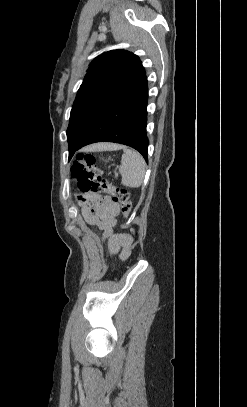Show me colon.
<instances>
[{"label": "colon", "mask_w": 247, "mask_h": 407, "mask_svg": "<svg viewBox=\"0 0 247 407\" xmlns=\"http://www.w3.org/2000/svg\"><path fill=\"white\" fill-rule=\"evenodd\" d=\"M71 174L81 193H106L119 206L122 215L130 217L132 206L128 191L115 187L103 177L92 154H79L71 166Z\"/></svg>", "instance_id": "obj_1"}]
</instances>
